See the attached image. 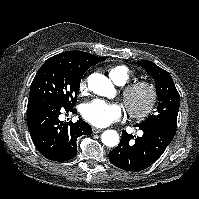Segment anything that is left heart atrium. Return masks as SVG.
Listing matches in <instances>:
<instances>
[{
    "instance_id": "39dd6f15",
    "label": "left heart atrium",
    "mask_w": 199,
    "mask_h": 199,
    "mask_svg": "<svg viewBox=\"0 0 199 199\" xmlns=\"http://www.w3.org/2000/svg\"><path fill=\"white\" fill-rule=\"evenodd\" d=\"M122 112L120 105L96 99L84 105L82 115L92 125L105 127L119 120Z\"/></svg>"
}]
</instances>
